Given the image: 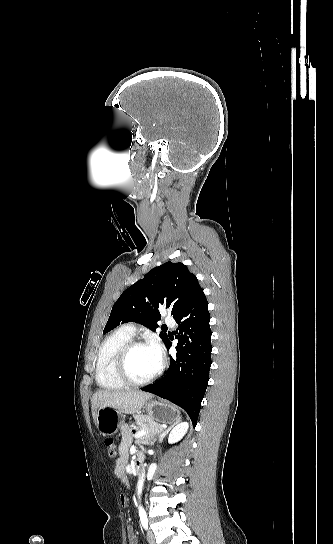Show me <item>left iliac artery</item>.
<instances>
[{"mask_svg":"<svg viewBox=\"0 0 333 544\" xmlns=\"http://www.w3.org/2000/svg\"><path fill=\"white\" fill-rule=\"evenodd\" d=\"M139 515H140V521L142 526L145 529H148V518H147L146 512L144 510H140Z\"/></svg>","mask_w":333,"mask_h":544,"instance_id":"left-iliac-artery-1","label":"left iliac artery"}]
</instances>
